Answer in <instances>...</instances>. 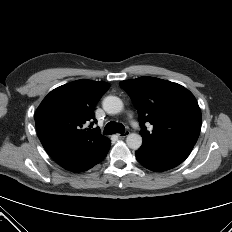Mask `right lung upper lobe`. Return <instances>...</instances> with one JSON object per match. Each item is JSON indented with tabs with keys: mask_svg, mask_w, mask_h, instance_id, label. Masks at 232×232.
Masks as SVG:
<instances>
[{
	"mask_svg": "<svg viewBox=\"0 0 232 232\" xmlns=\"http://www.w3.org/2000/svg\"><path fill=\"white\" fill-rule=\"evenodd\" d=\"M109 87L106 82L77 80L52 90L41 102L35 115L37 133L46 152L59 165L110 148V140L99 128L84 129L85 123L95 119L94 107Z\"/></svg>",
	"mask_w": 232,
	"mask_h": 232,
	"instance_id": "1",
	"label": "right lung upper lobe"
}]
</instances>
